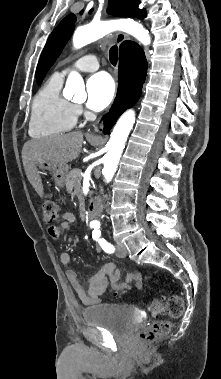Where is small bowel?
<instances>
[{"instance_id":"small-bowel-1","label":"small bowel","mask_w":221,"mask_h":379,"mask_svg":"<svg viewBox=\"0 0 221 379\" xmlns=\"http://www.w3.org/2000/svg\"><path fill=\"white\" fill-rule=\"evenodd\" d=\"M76 223L75 215L71 212H65L62 215L60 224L49 228V235L54 239H58ZM60 261L63 265H68L71 261L70 254L62 252ZM120 276V271L113 263H106L89 276L88 285L84 287L74 270H67L66 272L70 285L85 305L100 303L101 296L109 289L119 293L126 290L140 289L143 285L142 275L139 272H129L125 282H120Z\"/></svg>"}]
</instances>
